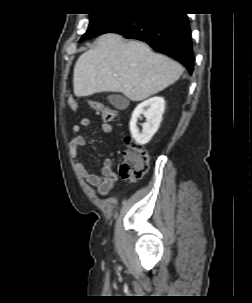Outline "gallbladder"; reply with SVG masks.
<instances>
[{
	"mask_svg": "<svg viewBox=\"0 0 252 303\" xmlns=\"http://www.w3.org/2000/svg\"><path fill=\"white\" fill-rule=\"evenodd\" d=\"M107 99L117 109H125L128 105V99L120 94L109 95Z\"/></svg>",
	"mask_w": 252,
	"mask_h": 303,
	"instance_id": "1",
	"label": "gallbladder"
}]
</instances>
